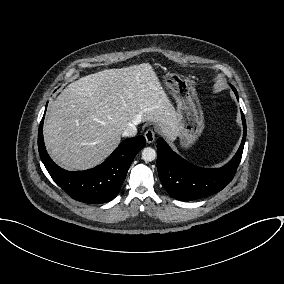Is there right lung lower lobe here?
Wrapping results in <instances>:
<instances>
[{
	"mask_svg": "<svg viewBox=\"0 0 284 284\" xmlns=\"http://www.w3.org/2000/svg\"><path fill=\"white\" fill-rule=\"evenodd\" d=\"M43 120L38 131L40 158L52 179L73 199L90 203H105L117 196L136 154L145 147L143 136L123 141L116 150L95 168L71 172L57 166L47 154L43 140Z\"/></svg>",
	"mask_w": 284,
	"mask_h": 284,
	"instance_id": "1",
	"label": "right lung lower lobe"
}]
</instances>
